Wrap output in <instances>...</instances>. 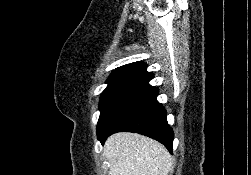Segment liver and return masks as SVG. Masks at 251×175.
Segmentation results:
<instances>
[{
  "label": "liver",
  "mask_w": 251,
  "mask_h": 175,
  "mask_svg": "<svg viewBox=\"0 0 251 175\" xmlns=\"http://www.w3.org/2000/svg\"><path fill=\"white\" fill-rule=\"evenodd\" d=\"M104 155L109 159V175H168L172 157L151 137L120 131L105 141Z\"/></svg>",
  "instance_id": "liver-1"
}]
</instances>
